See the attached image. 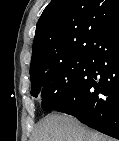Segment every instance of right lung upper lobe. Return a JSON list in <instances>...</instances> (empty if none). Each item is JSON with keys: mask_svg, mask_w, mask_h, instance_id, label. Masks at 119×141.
<instances>
[{"mask_svg": "<svg viewBox=\"0 0 119 141\" xmlns=\"http://www.w3.org/2000/svg\"><path fill=\"white\" fill-rule=\"evenodd\" d=\"M118 19L119 0H52L37 22L30 74L88 58Z\"/></svg>", "mask_w": 119, "mask_h": 141, "instance_id": "obj_1", "label": "right lung upper lobe"}]
</instances>
